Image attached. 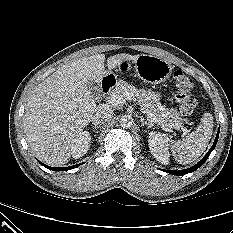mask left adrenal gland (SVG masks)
<instances>
[{"label": "left adrenal gland", "mask_w": 233, "mask_h": 233, "mask_svg": "<svg viewBox=\"0 0 233 233\" xmlns=\"http://www.w3.org/2000/svg\"><path fill=\"white\" fill-rule=\"evenodd\" d=\"M141 119V125L142 126H147L148 128H151L153 126V123L151 121H146L143 116H140Z\"/></svg>", "instance_id": "1"}]
</instances>
